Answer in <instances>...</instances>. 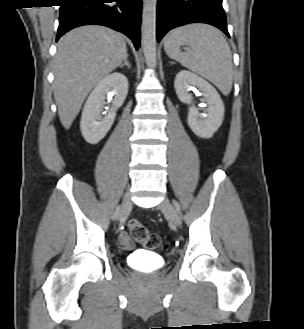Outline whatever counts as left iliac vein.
I'll list each match as a JSON object with an SVG mask.
<instances>
[{
	"mask_svg": "<svg viewBox=\"0 0 304 329\" xmlns=\"http://www.w3.org/2000/svg\"><path fill=\"white\" fill-rule=\"evenodd\" d=\"M159 209L166 213L173 224L176 226L181 225V214L180 212L173 206L168 198H165L159 205Z\"/></svg>",
	"mask_w": 304,
	"mask_h": 329,
	"instance_id": "left-iliac-vein-1",
	"label": "left iliac vein"
}]
</instances>
